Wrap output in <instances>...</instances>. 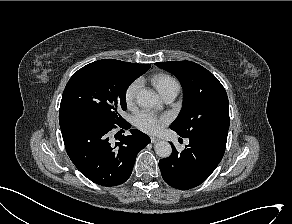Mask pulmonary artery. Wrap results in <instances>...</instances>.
Segmentation results:
<instances>
[{"label": "pulmonary artery", "mask_w": 292, "mask_h": 224, "mask_svg": "<svg viewBox=\"0 0 292 224\" xmlns=\"http://www.w3.org/2000/svg\"><path fill=\"white\" fill-rule=\"evenodd\" d=\"M177 94H178L177 89H171L163 93L161 97L165 103H171L176 98Z\"/></svg>", "instance_id": "e3ab8cb5"}]
</instances>
